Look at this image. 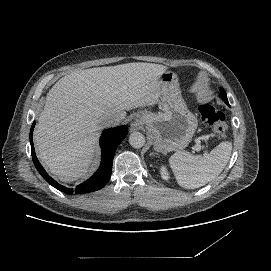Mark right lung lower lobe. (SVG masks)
Segmentation results:
<instances>
[{"mask_svg":"<svg viewBox=\"0 0 271 271\" xmlns=\"http://www.w3.org/2000/svg\"><path fill=\"white\" fill-rule=\"evenodd\" d=\"M35 126V122L32 124L30 130V143H31V154L33 158L34 165L41 176L53 187L62 191L66 194H82L97 191L103 188L108 180L110 179L112 172V163L115 151L118 145L123 141V139L127 135V127L121 126L117 128H111L104 130L101 138L100 145L102 149V161L99 169L93 174L91 178H89L84 183L78 185L76 189L73 191L72 189H68L60 184H58L55 180H53L44 170L42 165L39 163L33 146V129Z\"/></svg>","mask_w":271,"mask_h":271,"instance_id":"1","label":"right lung lower lobe"}]
</instances>
